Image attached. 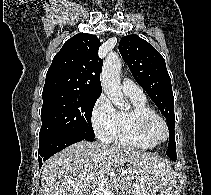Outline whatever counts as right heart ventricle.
Returning a JSON list of instances; mask_svg holds the SVG:
<instances>
[{"mask_svg": "<svg viewBox=\"0 0 211 195\" xmlns=\"http://www.w3.org/2000/svg\"><path fill=\"white\" fill-rule=\"evenodd\" d=\"M132 108L127 111H117L116 129L113 140L115 144L125 148L149 150L155 147L144 140L138 131L137 119L143 114L155 113L145 95H126Z\"/></svg>", "mask_w": 211, "mask_h": 195, "instance_id": "right-heart-ventricle-1", "label": "right heart ventricle"}]
</instances>
